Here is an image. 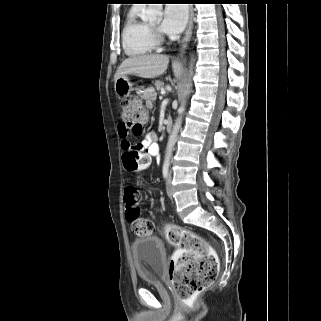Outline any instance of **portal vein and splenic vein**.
Wrapping results in <instances>:
<instances>
[{"label": "portal vein and splenic vein", "mask_w": 321, "mask_h": 321, "mask_svg": "<svg viewBox=\"0 0 321 321\" xmlns=\"http://www.w3.org/2000/svg\"><path fill=\"white\" fill-rule=\"evenodd\" d=\"M161 94H162V95L165 94V90H164V89L161 90Z\"/></svg>", "instance_id": "obj_1"}]
</instances>
